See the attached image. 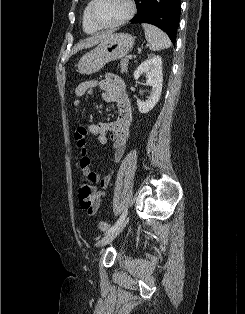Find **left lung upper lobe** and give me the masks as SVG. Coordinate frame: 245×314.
I'll list each match as a JSON object with an SVG mask.
<instances>
[{
  "label": "left lung upper lobe",
  "instance_id": "5c2ea615",
  "mask_svg": "<svg viewBox=\"0 0 245 314\" xmlns=\"http://www.w3.org/2000/svg\"><path fill=\"white\" fill-rule=\"evenodd\" d=\"M138 1H139V0H135L136 6H137V4H138Z\"/></svg>",
  "mask_w": 245,
  "mask_h": 314
}]
</instances>
